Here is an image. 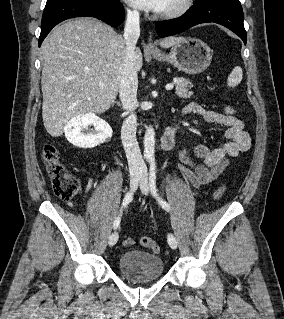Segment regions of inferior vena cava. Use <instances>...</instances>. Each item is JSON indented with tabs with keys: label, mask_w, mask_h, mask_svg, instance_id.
Masks as SVG:
<instances>
[{
	"label": "inferior vena cava",
	"mask_w": 284,
	"mask_h": 319,
	"mask_svg": "<svg viewBox=\"0 0 284 319\" xmlns=\"http://www.w3.org/2000/svg\"><path fill=\"white\" fill-rule=\"evenodd\" d=\"M140 36V22L138 11L127 12V19L124 28V41L126 47V60L123 66L122 78L120 81L119 97L124 110L131 111L125 119L121 129L122 144L131 171L141 170L144 161L136 139L137 119L133 110L137 107L138 76L134 67V55L136 43Z\"/></svg>",
	"instance_id": "inferior-vena-cava-1"
}]
</instances>
